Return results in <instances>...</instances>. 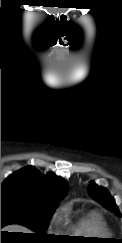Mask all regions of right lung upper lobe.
<instances>
[{
  "mask_svg": "<svg viewBox=\"0 0 122 243\" xmlns=\"http://www.w3.org/2000/svg\"><path fill=\"white\" fill-rule=\"evenodd\" d=\"M66 192L63 178L53 173L44 175L33 166L14 172L1 185V198H18L44 206H56Z\"/></svg>",
  "mask_w": 122,
  "mask_h": 243,
  "instance_id": "obj_1",
  "label": "right lung upper lobe"
}]
</instances>
